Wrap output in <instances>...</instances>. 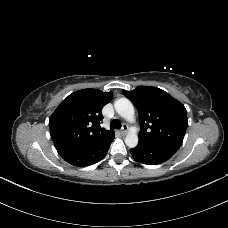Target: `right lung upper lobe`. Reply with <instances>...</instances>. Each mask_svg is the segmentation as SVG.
<instances>
[{"instance_id": "right-lung-upper-lobe-1", "label": "right lung upper lobe", "mask_w": 228, "mask_h": 228, "mask_svg": "<svg viewBox=\"0 0 228 228\" xmlns=\"http://www.w3.org/2000/svg\"><path fill=\"white\" fill-rule=\"evenodd\" d=\"M112 97V92L83 89L64 99L49 119L50 135L60 155L90 148L114 135L100 128L101 110Z\"/></svg>"}]
</instances>
